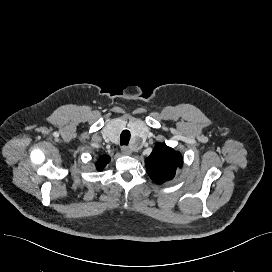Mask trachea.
<instances>
[{
	"mask_svg": "<svg viewBox=\"0 0 272 272\" xmlns=\"http://www.w3.org/2000/svg\"><path fill=\"white\" fill-rule=\"evenodd\" d=\"M130 137H131L130 132L128 130H123L120 135L121 145H128Z\"/></svg>",
	"mask_w": 272,
	"mask_h": 272,
	"instance_id": "1",
	"label": "trachea"
}]
</instances>
